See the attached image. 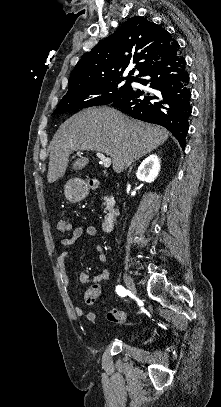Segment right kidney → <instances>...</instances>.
Returning <instances> with one entry per match:
<instances>
[{
    "label": "right kidney",
    "mask_w": 221,
    "mask_h": 407,
    "mask_svg": "<svg viewBox=\"0 0 221 407\" xmlns=\"http://www.w3.org/2000/svg\"><path fill=\"white\" fill-rule=\"evenodd\" d=\"M160 171V159L156 154L148 156L138 167L136 176L140 181L153 182Z\"/></svg>",
    "instance_id": "ca27d5eb"
}]
</instances>
